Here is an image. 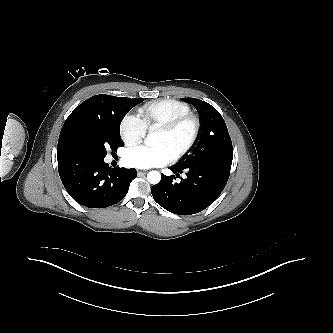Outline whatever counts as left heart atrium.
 <instances>
[{
    "label": "left heart atrium",
    "instance_id": "obj_1",
    "mask_svg": "<svg viewBox=\"0 0 333 333\" xmlns=\"http://www.w3.org/2000/svg\"><path fill=\"white\" fill-rule=\"evenodd\" d=\"M172 160V155L164 145H138L128 148L124 153L125 163L134 168L146 169L163 166Z\"/></svg>",
    "mask_w": 333,
    "mask_h": 333
}]
</instances>
